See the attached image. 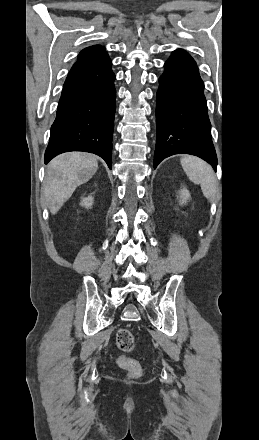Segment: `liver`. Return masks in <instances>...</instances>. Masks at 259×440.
<instances>
[{"label":"liver","instance_id":"1","mask_svg":"<svg viewBox=\"0 0 259 440\" xmlns=\"http://www.w3.org/2000/svg\"><path fill=\"white\" fill-rule=\"evenodd\" d=\"M97 169V157L90 153L70 152L55 157L47 167L44 187L51 214L55 215L75 189L91 179Z\"/></svg>","mask_w":259,"mask_h":440}]
</instances>
